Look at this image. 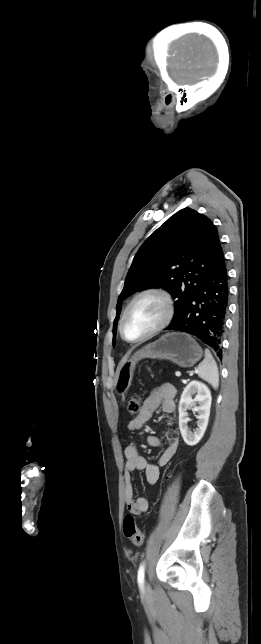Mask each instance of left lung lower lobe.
Returning <instances> with one entry per match:
<instances>
[{
  "instance_id": "obj_1",
  "label": "left lung lower lobe",
  "mask_w": 261,
  "mask_h": 644,
  "mask_svg": "<svg viewBox=\"0 0 261 644\" xmlns=\"http://www.w3.org/2000/svg\"><path fill=\"white\" fill-rule=\"evenodd\" d=\"M228 279L223 254L205 276L182 314L166 330L192 334L222 358L221 338L229 300Z\"/></svg>"
}]
</instances>
